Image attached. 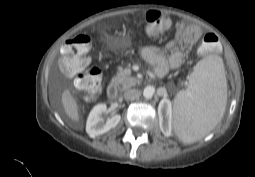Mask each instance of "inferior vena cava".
<instances>
[{"mask_svg":"<svg viewBox=\"0 0 255 177\" xmlns=\"http://www.w3.org/2000/svg\"><path fill=\"white\" fill-rule=\"evenodd\" d=\"M141 95L140 90L138 89H129L124 93V98L126 100H135L138 99Z\"/></svg>","mask_w":255,"mask_h":177,"instance_id":"obj_1","label":"inferior vena cava"}]
</instances>
